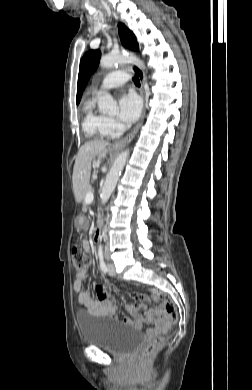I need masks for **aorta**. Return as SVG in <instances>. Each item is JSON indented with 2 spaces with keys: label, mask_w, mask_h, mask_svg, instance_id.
<instances>
[{
  "label": "aorta",
  "mask_w": 252,
  "mask_h": 390,
  "mask_svg": "<svg viewBox=\"0 0 252 390\" xmlns=\"http://www.w3.org/2000/svg\"><path fill=\"white\" fill-rule=\"evenodd\" d=\"M121 63H134L140 67H144V63L134 55L125 54H108L104 55L100 59V66L103 68H112ZM98 107L102 112L116 111L117 103L109 93L101 95L98 99ZM129 156V150L121 152L115 159L113 166L106 176L104 186L100 195L102 204H105L114 191L119 176L126 164Z\"/></svg>",
  "instance_id": "aorta-1"
}]
</instances>
